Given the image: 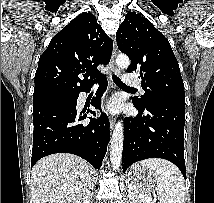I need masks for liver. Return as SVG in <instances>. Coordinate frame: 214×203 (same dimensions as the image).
Returning <instances> with one entry per match:
<instances>
[{"label": "liver", "instance_id": "1", "mask_svg": "<svg viewBox=\"0 0 214 203\" xmlns=\"http://www.w3.org/2000/svg\"><path fill=\"white\" fill-rule=\"evenodd\" d=\"M92 173V166L73 154L42 158L31 171L33 203H90Z\"/></svg>", "mask_w": 214, "mask_h": 203}]
</instances>
